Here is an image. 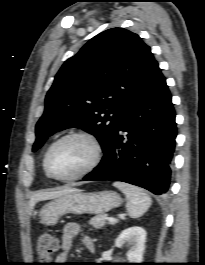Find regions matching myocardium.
<instances>
[{
  "instance_id": "1",
  "label": "myocardium",
  "mask_w": 205,
  "mask_h": 265,
  "mask_svg": "<svg viewBox=\"0 0 205 265\" xmlns=\"http://www.w3.org/2000/svg\"><path fill=\"white\" fill-rule=\"evenodd\" d=\"M69 138H82L84 140H86L92 147V157L90 159V161L86 164V166H84L80 171H78L77 173L70 175V176H58L56 174H54L50 168H49V156L50 153L52 152V150L62 141L69 139ZM102 159V147L100 142L98 141V139L91 133L86 132V131H71L68 132L62 136H60L58 139H56L54 142H52L50 144V146L48 147V149L45 152L44 158H43V168L46 172V174L57 181H61V182H70V181H74L77 179H80L84 176H86L87 174H89L90 172H92L100 163Z\"/></svg>"
}]
</instances>
